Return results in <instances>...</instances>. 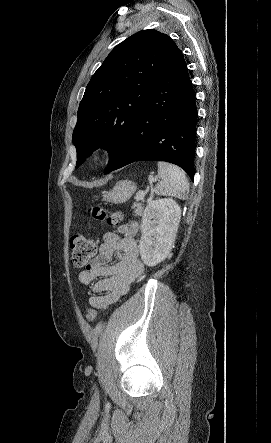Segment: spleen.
Masks as SVG:
<instances>
[{"label":"spleen","mask_w":271,"mask_h":443,"mask_svg":"<svg viewBox=\"0 0 271 443\" xmlns=\"http://www.w3.org/2000/svg\"><path fill=\"white\" fill-rule=\"evenodd\" d=\"M158 178L161 182H158L154 188L157 196H174L179 200L188 198L189 184L181 168L167 162H158Z\"/></svg>","instance_id":"1"}]
</instances>
